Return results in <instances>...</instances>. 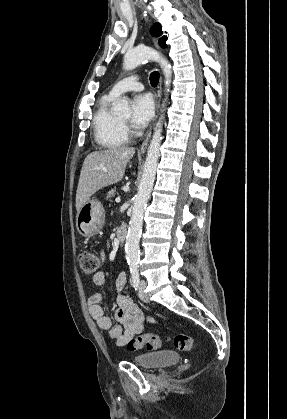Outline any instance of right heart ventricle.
Segmentation results:
<instances>
[{"label": "right heart ventricle", "instance_id": "right-heart-ventricle-1", "mask_svg": "<svg viewBox=\"0 0 287 419\" xmlns=\"http://www.w3.org/2000/svg\"><path fill=\"white\" fill-rule=\"evenodd\" d=\"M115 97L103 95L93 115V131L96 143L103 148H117L127 142V135L120 119L111 111Z\"/></svg>", "mask_w": 287, "mask_h": 419}]
</instances>
